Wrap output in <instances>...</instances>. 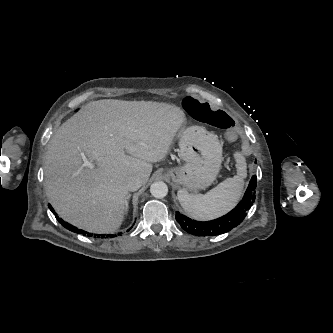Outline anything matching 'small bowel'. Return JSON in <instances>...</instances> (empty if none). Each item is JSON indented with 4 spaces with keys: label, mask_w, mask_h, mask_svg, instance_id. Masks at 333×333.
Masks as SVG:
<instances>
[{
    "label": "small bowel",
    "mask_w": 333,
    "mask_h": 333,
    "mask_svg": "<svg viewBox=\"0 0 333 333\" xmlns=\"http://www.w3.org/2000/svg\"><path fill=\"white\" fill-rule=\"evenodd\" d=\"M222 140L224 143L226 144H234L237 142L238 140V135L236 133V131L232 130V129H229L227 131H225L222 135ZM241 154L242 155H249L250 154V144L249 143H242L241 144Z\"/></svg>",
    "instance_id": "c3829d8e"
}]
</instances>
